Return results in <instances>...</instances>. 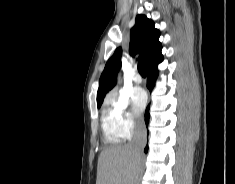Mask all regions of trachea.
Returning a JSON list of instances; mask_svg holds the SVG:
<instances>
[{
	"label": "trachea",
	"instance_id": "obj_1",
	"mask_svg": "<svg viewBox=\"0 0 235 184\" xmlns=\"http://www.w3.org/2000/svg\"><path fill=\"white\" fill-rule=\"evenodd\" d=\"M138 71L142 75V77H146L145 63L143 60L138 62Z\"/></svg>",
	"mask_w": 235,
	"mask_h": 184
}]
</instances>
